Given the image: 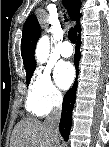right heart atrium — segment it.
<instances>
[{
  "label": "right heart atrium",
  "mask_w": 109,
  "mask_h": 147,
  "mask_svg": "<svg viewBox=\"0 0 109 147\" xmlns=\"http://www.w3.org/2000/svg\"><path fill=\"white\" fill-rule=\"evenodd\" d=\"M63 94L51 79L48 68L38 69L30 82L28 101L34 103L41 114H47L62 103Z\"/></svg>",
  "instance_id": "d8ad5b80"
}]
</instances>
